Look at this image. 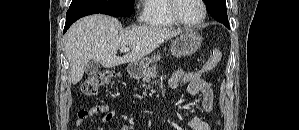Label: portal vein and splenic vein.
<instances>
[{"label":"portal vein and splenic vein","mask_w":299,"mask_h":130,"mask_svg":"<svg viewBox=\"0 0 299 130\" xmlns=\"http://www.w3.org/2000/svg\"><path fill=\"white\" fill-rule=\"evenodd\" d=\"M120 50H121V52H127V51L130 50V48L124 46V47H122Z\"/></svg>","instance_id":"1"}]
</instances>
